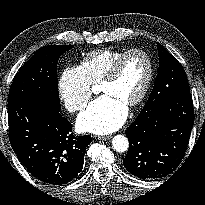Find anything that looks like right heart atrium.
<instances>
[{"instance_id": "obj_1", "label": "right heart atrium", "mask_w": 205, "mask_h": 205, "mask_svg": "<svg viewBox=\"0 0 205 205\" xmlns=\"http://www.w3.org/2000/svg\"><path fill=\"white\" fill-rule=\"evenodd\" d=\"M57 89L64 106L72 113L82 111L92 94V84L81 66L65 67L58 78Z\"/></svg>"}]
</instances>
